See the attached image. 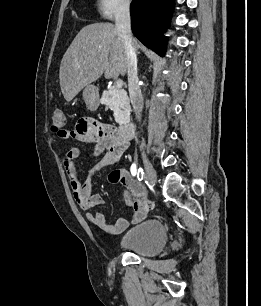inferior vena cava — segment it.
Listing matches in <instances>:
<instances>
[{
  "instance_id": "1",
  "label": "inferior vena cava",
  "mask_w": 261,
  "mask_h": 306,
  "mask_svg": "<svg viewBox=\"0 0 261 306\" xmlns=\"http://www.w3.org/2000/svg\"><path fill=\"white\" fill-rule=\"evenodd\" d=\"M115 29L124 43L125 52L128 58L127 75L129 96L136 118L140 121L143 110V97L138 83L137 55L131 33L129 0L122 2L116 11Z\"/></svg>"
}]
</instances>
